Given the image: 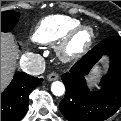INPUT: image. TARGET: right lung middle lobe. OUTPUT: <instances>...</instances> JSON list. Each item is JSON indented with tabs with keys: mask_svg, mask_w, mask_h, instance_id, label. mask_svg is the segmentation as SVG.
Returning a JSON list of instances; mask_svg holds the SVG:
<instances>
[{
	"mask_svg": "<svg viewBox=\"0 0 121 121\" xmlns=\"http://www.w3.org/2000/svg\"><path fill=\"white\" fill-rule=\"evenodd\" d=\"M20 13L12 10L1 12V31L9 32L17 24Z\"/></svg>",
	"mask_w": 121,
	"mask_h": 121,
	"instance_id": "right-lung-middle-lobe-1",
	"label": "right lung middle lobe"
}]
</instances>
